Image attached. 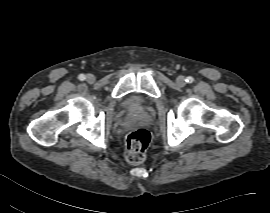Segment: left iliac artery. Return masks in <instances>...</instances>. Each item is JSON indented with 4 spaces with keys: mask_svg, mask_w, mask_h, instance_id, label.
<instances>
[{
    "mask_svg": "<svg viewBox=\"0 0 270 213\" xmlns=\"http://www.w3.org/2000/svg\"><path fill=\"white\" fill-rule=\"evenodd\" d=\"M185 81L188 82V83H192L193 82V78L189 76V77L186 78Z\"/></svg>",
    "mask_w": 270,
    "mask_h": 213,
    "instance_id": "1",
    "label": "left iliac artery"
}]
</instances>
